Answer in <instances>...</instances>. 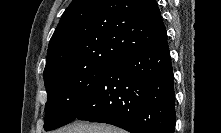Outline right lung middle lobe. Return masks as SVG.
I'll return each instance as SVG.
<instances>
[{
	"mask_svg": "<svg viewBox=\"0 0 221 133\" xmlns=\"http://www.w3.org/2000/svg\"><path fill=\"white\" fill-rule=\"evenodd\" d=\"M110 65H74L44 76L47 91L44 129L53 130L73 121Z\"/></svg>",
	"mask_w": 221,
	"mask_h": 133,
	"instance_id": "dd1d6c3e",
	"label": "right lung middle lobe"
}]
</instances>
